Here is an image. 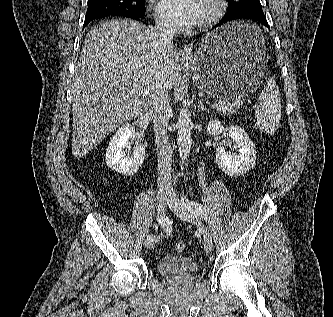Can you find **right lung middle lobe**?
<instances>
[{"label":"right lung middle lobe","mask_w":333,"mask_h":317,"mask_svg":"<svg viewBox=\"0 0 333 317\" xmlns=\"http://www.w3.org/2000/svg\"><path fill=\"white\" fill-rule=\"evenodd\" d=\"M144 12V0H88L86 16L103 14L142 16Z\"/></svg>","instance_id":"1"}]
</instances>
